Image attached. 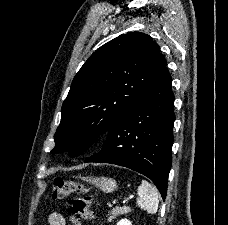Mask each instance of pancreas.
Listing matches in <instances>:
<instances>
[{
    "label": "pancreas",
    "instance_id": "pancreas-1",
    "mask_svg": "<svg viewBox=\"0 0 228 225\" xmlns=\"http://www.w3.org/2000/svg\"><path fill=\"white\" fill-rule=\"evenodd\" d=\"M127 213H130V207H116V209L109 211L108 221L111 223V221L119 217V215H127Z\"/></svg>",
    "mask_w": 228,
    "mask_h": 225
}]
</instances>
